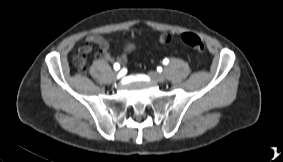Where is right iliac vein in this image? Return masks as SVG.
<instances>
[{
	"label": "right iliac vein",
	"mask_w": 283,
	"mask_h": 162,
	"mask_svg": "<svg viewBox=\"0 0 283 162\" xmlns=\"http://www.w3.org/2000/svg\"><path fill=\"white\" fill-rule=\"evenodd\" d=\"M117 75H118L117 71L113 72L111 74L112 79H115L117 77Z\"/></svg>",
	"instance_id": "obj_1"
}]
</instances>
